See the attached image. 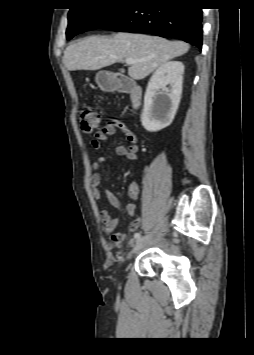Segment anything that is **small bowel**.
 Listing matches in <instances>:
<instances>
[{
    "label": "small bowel",
    "mask_w": 254,
    "mask_h": 355,
    "mask_svg": "<svg viewBox=\"0 0 254 355\" xmlns=\"http://www.w3.org/2000/svg\"><path fill=\"white\" fill-rule=\"evenodd\" d=\"M121 131L127 141L128 145H119L116 147V154L121 157H125L129 160H135L137 158L138 144L137 136L128 128V126L119 120H110L107 124L99 130L95 137L91 140V147L98 151L102 147V142L108 140V138L114 135L117 131ZM106 159L104 157H98L93 163L94 173L91 176L90 185L92 188L93 197L99 200L104 194L109 203L115 207L120 215L118 217H112L108 210L102 209L100 211V219L104 225L105 232L110 236L111 240L120 244L126 240L129 234L138 231L141 226L140 213L137 211L135 202L138 201L140 196V190L137 183H131L128 190V195L131 202L125 204L121 198L109 189L101 188V176L99 170L105 165ZM133 217V220L129 224L128 231L126 233L117 232L121 218L125 215Z\"/></svg>",
    "instance_id": "1"
}]
</instances>
